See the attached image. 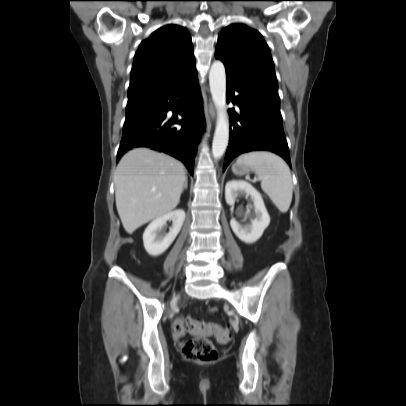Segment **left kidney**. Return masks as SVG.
I'll return each instance as SVG.
<instances>
[{
  "instance_id": "5707ae66",
  "label": "left kidney",
  "mask_w": 406,
  "mask_h": 406,
  "mask_svg": "<svg viewBox=\"0 0 406 406\" xmlns=\"http://www.w3.org/2000/svg\"><path fill=\"white\" fill-rule=\"evenodd\" d=\"M240 195L250 196L253 201V211L247 215L250 224L241 225L234 218L230 226L235 235L243 242L255 243L270 223V216L266 210L261 194L248 182L232 180L226 183L225 200L228 205L234 206L236 198ZM252 208V206H250Z\"/></svg>"
}]
</instances>
